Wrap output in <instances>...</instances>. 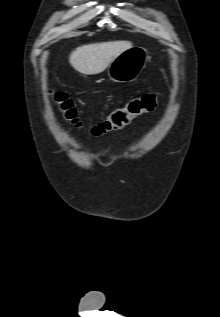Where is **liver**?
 <instances>
[{"label": "liver", "instance_id": "6515ba94", "mask_svg": "<svg viewBox=\"0 0 220 317\" xmlns=\"http://www.w3.org/2000/svg\"><path fill=\"white\" fill-rule=\"evenodd\" d=\"M131 47L130 41L83 45L71 52L69 62L76 71L95 75L103 72L117 56Z\"/></svg>", "mask_w": 220, "mask_h": 317}]
</instances>
